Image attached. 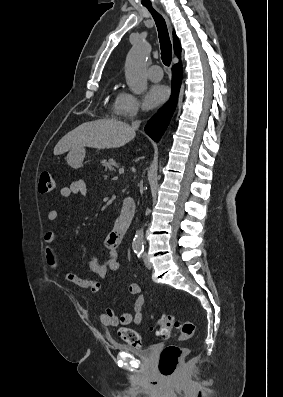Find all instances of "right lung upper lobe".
<instances>
[{
    "label": "right lung upper lobe",
    "mask_w": 283,
    "mask_h": 397,
    "mask_svg": "<svg viewBox=\"0 0 283 397\" xmlns=\"http://www.w3.org/2000/svg\"><path fill=\"white\" fill-rule=\"evenodd\" d=\"M173 39H174V51H175V54L180 57L181 45H180L178 37L175 35V32H173Z\"/></svg>",
    "instance_id": "obj_1"
}]
</instances>
